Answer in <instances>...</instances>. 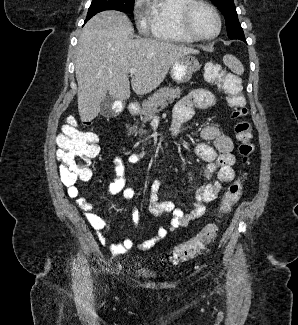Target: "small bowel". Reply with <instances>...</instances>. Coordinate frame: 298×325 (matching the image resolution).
<instances>
[{
    "instance_id": "small-bowel-1",
    "label": "small bowel",
    "mask_w": 298,
    "mask_h": 325,
    "mask_svg": "<svg viewBox=\"0 0 298 325\" xmlns=\"http://www.w3.org/2000/svg\"><path fill=\"white\" fill-rule=\"evenodd\" d=\"M217 105L215 95L206 89H196L182 98L175 106L171 123V134L176 137L179 135L181 127L189 121L194 108L210 109ZM201 136L205 141H211L214 146L207 143H200L195 147V154L203 161L207 162L206 178L217 171V179L201 185L196 192L193 209L189 213H184L171 201H159L158 193L161 188V181L154 180L150 186L148 197V208L156 216L161 217L166 213L171 214V219L167 227L160 226L154 237L144 241L138 246L147 250L152 248L160 240L165 238L169 232L187 226L190 222L199 219L206 212V205L214 201L220 193L223 184L231 182L235 177L233 166L236 158L232 153L233 141L229 135L222 132L216 125H207L201 131ZM146 157L144 151L133 152L125 159L115 157L113 167L115 178L108 186L111 195H122L125 199H132L134 189L127 186L126 173L131 165L137 164ZM68 194L76 198L77 205L83 211L86 220L96 231L99 241L106 242L107 224L98 214L94 212L93 203L85 198L79 197V190L76 185L68 186ZM140 213L136 207L132 209V221L135 227L140 224ZM134 247L131 238L125 237L121 242L111 245V251L116 254H123Z\"/></svg>"
}]
</instances>
